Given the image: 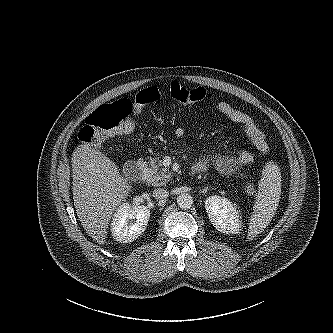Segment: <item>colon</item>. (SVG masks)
Returning a JSON list of instances; mask_svg holds the SVG:
<instances>
[{"mask_svg":"<svg viewBox=\"0 0 333 333\" xmlns=\"http://www.w3.org/2000/svg\"><path fill=\"white\" fill-rule=\"evenodd\" d=\"M170 96L182 104H194L211 99V94L201 87H185L174 81L171 83ZM161 99V92L156 87L139 91L134 102L128 99L103 104L85 121L79 132V139L84 143L98 145L111 134L131 133L136 125L135 116L146 105ZM246 190L255 194L257 189L248 184Z\"/></svg>","mask_w":333,"mask_h":333,"instance_id":"1","label":"colon"}]
</instances>
